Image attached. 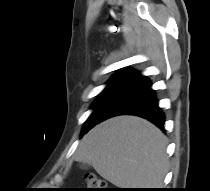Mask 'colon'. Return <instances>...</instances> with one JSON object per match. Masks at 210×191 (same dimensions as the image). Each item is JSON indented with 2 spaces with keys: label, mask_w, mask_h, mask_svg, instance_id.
<instances>
[{
  "label": "colon",
  "mask_w": 210,
  "mask_h": 191,
  "mask_svg": "<svg viewBox=\"0 0 210 191\" xmlns=\"http://www.w3.org/2000/svg\"><path fill=\"white\" fill-rule=\"evenodd\" d=\"M83 191H112L107 183L95 174L86 176V188Z\"/></svg>",
  "instance_id": "5ec220e1"
}]
</instances>
